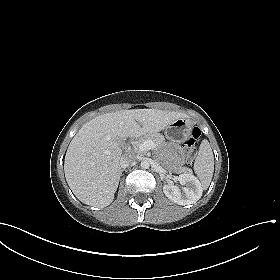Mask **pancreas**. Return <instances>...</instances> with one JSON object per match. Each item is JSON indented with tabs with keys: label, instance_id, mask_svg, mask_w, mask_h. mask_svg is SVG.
<instances>
[{
	"label": "pancreas",
	"instance_id": "obj_1",
	"mask_svg": "<svg viewBox=\"0 0 280 280\" xmlns=\"http://www.w3.org/2000/svg\"><path fill=\"white\" fill-rule=\"evenodd\" d=\"M146 140H151L153 141L156 145H160L164 142V138L160 134H145L141 136L137 141L134 142L133 146L136 149L137 153H141L139 150V146ZM183 172H190V169L187 167H183L181 169Z\"/></svg>",
	"mask_w": 280,
	"mask_h": 280
}]
</instances>
